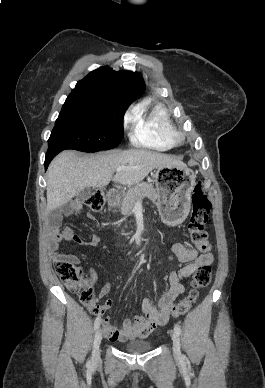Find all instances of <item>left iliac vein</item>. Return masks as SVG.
Listing matches in <instances>:
<instances>
[{"mask_svg": "<svg viewBox=\"0 0 265 388\" xmlns=\"http://www.w3.org/2000/svg\"><path fill=\"white\" fill-rule=\"evenodd\" d=\"M172 341H173V354L175 359H181V344L179 335L176 332L172 333Z\"/></svg>", "mask_w": 265, "mask_h": 388, "instance_id": "4c4485c4", "label": "left iliac vein"}]
</instances>
